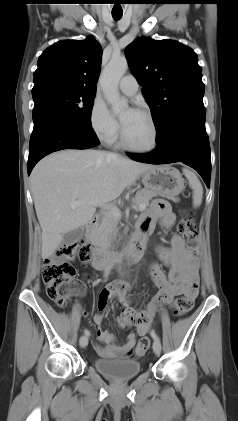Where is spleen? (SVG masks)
<instances>
[{
	"label": "spleen",
	"instance_id": "1",
	"mask_svg": "<svg viewBox=\"0 0 238 421\" xmlns=\"http://www.w3.org/2000/svg\"><path fill=\"white\" fill-rule=\"evenodd\" d=\"M183 174L187 178L190 188L193 190V205L194 207H198L201 205L203 198L202 184L195 173L191 170L183 168Z\"/></svg>",
	"mask_w": 238,
	"mask_h": 421
}]
</instances>
